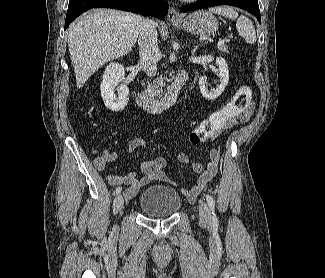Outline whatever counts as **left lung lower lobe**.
<instances>
[{"label":"left lung lower lobe","mask_w":325,"mask_h":278,"mask_svg":"<svg viewBox=\"0 0 325 278\" xmlns=\"http://www.w3.org/2000/svg\"><path fill=\"white\" fill-rule=\"evenodd\" d=\"M217 5H231L242 8L256 16L259 22L261 21L258 0H199L196 3L182 7V11L189 12Z\"/></svg>","instance_id":"left-lung-lower-lobe-1"}]
</instances>
